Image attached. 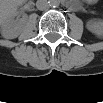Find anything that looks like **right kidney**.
<instances>
[{
    "instance_id": "right-kidney-1",
    "label": "right kidney",
    "mask_w": 103,
    "mask_h": 103,
    "mask_svg": "<svg viewBox=\"0 0 103 103\" xmlns=\"http://www.w3.org/2000/svg\"><path fill=\"white\" fill-rule=\"evenodd\" d=\"M15 1H6L1 5L0 11V32L6 39H14L20 33L22 19L15 21L17 15V5H13Z\"/></svg>"
}]
</instances>
